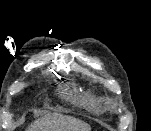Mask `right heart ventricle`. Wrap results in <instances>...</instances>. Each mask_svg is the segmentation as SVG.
<instances>
[{"mask_svg":"<svg viewBox=\"0 0 151 131\" xmlns=\"http://www.w3.org/2000/svg\"><path fill=\"white\" fill-rule=\"evenodd\" d=\"M68 98L91 112L99 113L102 111L101 100L91 92L74 91L70 89L65 93Z\"/></svg>","mask_w":151,"mask_h":131,"instance_id":"1","label":"right heart ventricle"}]
</instances>
